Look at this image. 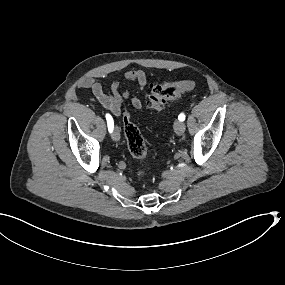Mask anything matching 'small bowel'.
<instances>
[{"label": "small bowel", "mask_w": 285, "mask_h": 285, "mask_svg": "<svg viewBox=\"0 0 285 285\" xmlns=\"http://www.w3.org/2000/svg\"><path fill=\"white\" fill-rule=\"evenodd\" d=\"M126 79L129 82L135 83L139 90H143L148 83L146 74L142 70H131L127 72ZM78 86L90 90L98 102L114 116L121 115L124 95H127V93H122L119 82L112 83L110 93L105 92L103 84L99 80L91 77L82 78ZM132 105L135 109H141L143 103L138 96H135L132 99Z\"/></svg>", "instance_id": "1"}]
</instances>
